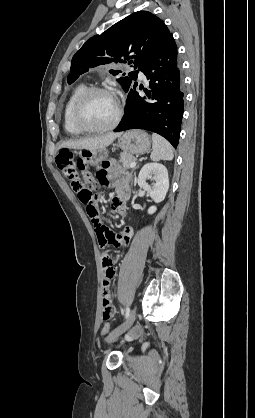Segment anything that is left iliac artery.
<instances>
[{"mask_svg": "<svg viewBox=\"0 0 255 418\" xmlns=\"http://www.w3.org/2000/svg\"><path fill=\"white\" fill-rule=\"evenodd\" d=\"M130 314V309L127 307L126 308V313H125V318H127Z\"/></svg>", "mask_w": 255, "mask_h": 418, "instance_id": "obj_1", "label": "left iliac artery"}]
</instances>
